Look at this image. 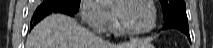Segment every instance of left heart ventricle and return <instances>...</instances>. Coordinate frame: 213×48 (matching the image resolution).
Listing matches in <instances>:
<instances>
[{"label": "left heart ventricle", "instance_id": "b2bd125f", "mask_svg": "<svg viewBox=\"0 0 213 48\" xmlns=\"http://www.w3.org/2000/svg\"><path fill=\"white\" fill-rule=\"evenodd\" d=\"M126 26L133 30H144L151 24L152 13L150 8L142 2H119L114 6Z\"/></svg>", "mask_w": 213, "mask_h": 48}]
</instances>
